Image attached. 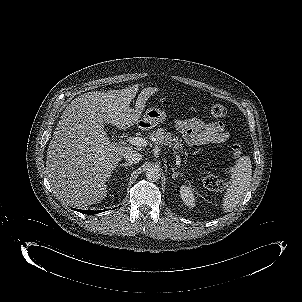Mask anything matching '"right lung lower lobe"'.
Instances as JSON below:
<instances>
[{
	"instance_id": "98d812e1",
	"label": "right lung lower lobe",
	"mask_w": 302,
	"mask_h": 302,
	"mask_svg": "<svg viewBox=\"0 0 302 302\" xmlns=\"http://www.w3.org/2000/svg\"><path fill=\"white\" fill-rule=\"evenodd\" d=\"M75 210L78 211V212H81V213H84V214H90V215L102 212V210H100V211H87V210H78V209H75Z\"/></svg>"
}]
</instances>
